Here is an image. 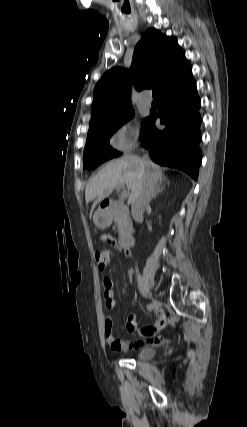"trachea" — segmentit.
Segmentation results:
<instances>
[{
  "instance_id": "1",
  "label": "trachea",
  "mask_w": 247,
  "mask_h": 427,
  "mask_svg": "<svg viewBox=\"0 0 247 427\" xmlns=\"http://www.w3.org/2000/svg\"><path fill=\"white\" fill-rule=\"evenodd\" d=\"M152 95H153V98H157V91H156V89H153V91H152Z\"/></svg>"
}]
</instances>
